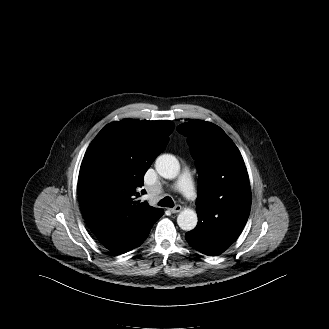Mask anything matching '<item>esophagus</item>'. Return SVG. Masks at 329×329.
I'll return each mask as SVG.
<instances>
[{
	"mask_svg": "<svg viewBox=\"0 0 329 329\" xmlns=\"http://www.w3.org/2000/svg\"><path fill=\"white\" fill-rule=\"evenodd\" d=\"M171 213H178L182 210L181 205H176L174 208L169 209Z\"/></svg>",
	"mask_w": 329,
	"mask_h": 329,
	"instance_id": "1",
	"label": "esophagus"
}]
</instances>
